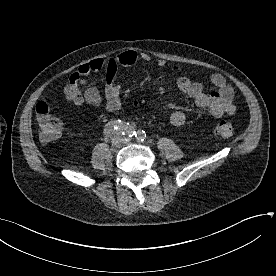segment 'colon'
<instances>
[{"label": "colon", "mask_w": 276, "mask_h": 276, "mask_svg": "<svg viewBox=\"0 0 276 276\" xmlns=\"http://www.w3.org/2000/svg\"><path fill=\"white\" fill-rule=\"evenodd\" d=\"M35 113L41 142L48 143L57 139L61 134L62 124L57 117L51 114L47 102L39 101L35 107ZM233 132V125L226 120L218 121L213 127V134L222 139L230 138Z\"/></svg>", "instance_id": "5ec220e1"}]
</instances>
